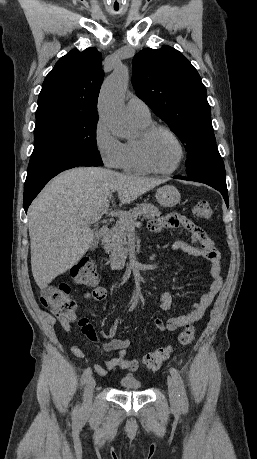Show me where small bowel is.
<instances>
[{
	"label": "small bowel",
	"instance_id": "c3829d8e",
	"mask_svg": "<svg viewBox=\"0 0 257 459\" xmlns=\"http://www.w3.org/2000/svg\"><path fill=\"white\" fill-rule=\"evenodd\" d=\"M148 222L149 230L152 232H156L161 229H175V227H182L187 230L192 235L194 241L198 242L199 245L196 246L183 241H176L172 246L173 250L181 251L195 257H202L209 264L210 285L200 299L190 306V311L184 315L171 317L165 323L158 318L153 321L154 327L158 330L175 331L199 321L217 293L220 291L223 284L220 257L211 240L195 225H193L188 218L182 216L181 213H179L178 208H167L165 218L150 217ZM106 296L107 290L102 286H96L92 291L79 296L77 301L87 299L94 302H100L103 301ZM171 303L172 298L168 292H160L157 296V304L163 311H168L171 307ZM76 319L75 315L72 319H62L60 321L62 328L66 332H69L71 330L72 323L76 321ZM77 322L82 333L88 338V340L92 342L98 341L96 331L88 318L80 317L77 319ZM130 344L131 341L127 338H114L104 343V351H117V356L110 360H105L103 364H95V372L101 376H105L109 370L117 367L128 371L136 370L143 362L144 358H128L127 348ZM70 351L77 358H85L84 352L78 346H71Z\"/></svg>",
	"mask_w": 257,
	"mask_h": 459
}]
</instances>
